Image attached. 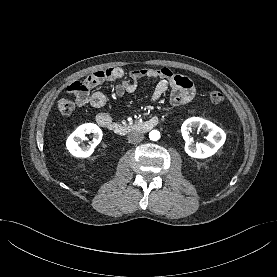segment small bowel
Listing matches in <instances>:
<instances>
[{
  "label": "small bowel",
  "instance_id": "c3829d8e",
  "mask_svg": "<svg viewBox=\"0 0 277 277\" xmlns=\"http://www.w3.org/2000/svg\"><path fill=\"white\" fill-rule=\"evenodd\" d=\"M142 79L157 80L152 95L154 102H158L165 92L170 90L171 104L181 106L191 102L196 93L195 86L188 77L175 74L165 67L135 69L130 71L128 76L125 75L123 69L118 67L100 70L89 75L81 82L85 87L84 91L74 90L76 82L69 85L68 91L75 96L78 105L82 106L89 103L92 107L99 109L105 106L107 98L100 91L90 95V89L104 82H116L115 93L118 96H123L126 93H134L138 87V82ZM105 119L112 120L111 116L106 112H101L96 117L99 125Z\"/></svg>",
  "mask_w": 277,
  "mask_h": 277
}]
</instances>
